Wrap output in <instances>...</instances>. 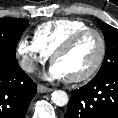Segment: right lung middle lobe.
<instances>
[{"label": "right lung middle lobe", "mask_w": 118, "mask_h": 118, "mask_svg": "<svg viewBox=\"0 0 118 118\" xmlns=\"http://www.w3.org/2000/svg\"><path fill=\"white\" fill-rule=\"evenodd\" d=\"M28 25V21L24 19H0V58L16 59L17 42Z\"/></svg>", "instance_id": "right-lung-middle-lobe-1"}]
</instances>
